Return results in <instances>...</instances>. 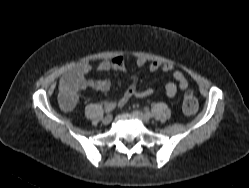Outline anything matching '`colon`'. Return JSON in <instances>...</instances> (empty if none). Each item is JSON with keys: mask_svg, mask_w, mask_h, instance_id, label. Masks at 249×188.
Instances as JSON below:
<instances>
[{"mask_svg": "<svg viewBox=\"0 0 249 188\" xmlns=\"http://www.w3.org/2000/svg\"><path fill=\"white\" fill-rule=\"evenodd\" d=\"M60 99H62L68 107H74L75 102L71 92L60 94ZM182 109L187 115H193L196 113L198 109V101L192 91H187L183 95Z\"/></svg>", "mask_w": 249, "mask_h": 188, "instance_id": "5ec220e1", "label": "colon"}]
</instances>
